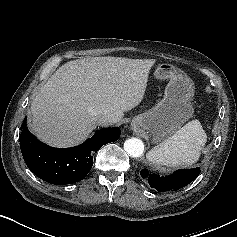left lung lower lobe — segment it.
Returning a JSON list of instances; mask_svg holds the SVG:
<instances>
[{
	"label": "left lung lower lobe",
	"instance_id": "left-lung-lower-lobe-1",
	"mask_svg": "<svg viewBox=\"0 0 237 237\" xmlns=\"http://www.w3.org/2000/svg\"><path fill=\"white\" fill-rule=\"evenodd\" d=\"M200 173V168L193 169H180L168 176H159L157 174H149L147 169L141 171L143 178L148 177V182L151 188H155L158 191H175L182 187H185L192 181H194Z\"/></svg>",
	"mask_w": 237,
	"mask_h": 237
}]
</instances>
